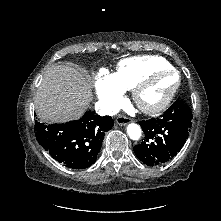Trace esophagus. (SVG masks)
Instances as JSON below:
<instances>
[{"label": "esophagus", "instance_id": "esophagus-1", "mask_svg": "<svg viewBox=\"0 0 221 221\" xmlns=\"http://www.w3.org/2000/svg\"><path fill=\"white\" fill-rule=\"evenodd\" d=\"M116 123L118 125L124 126V125H127L128 123H130V119L128 117H125V116H118L116 118Z\"/></svg>", "mask_w": 221, "mask_h": 221}]
</instances>
